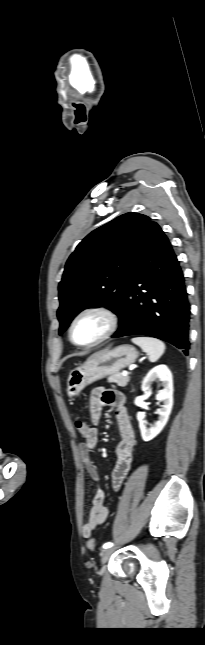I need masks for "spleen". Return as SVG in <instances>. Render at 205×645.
<instances>
[{"label": "spleen", "mask_w": 205, "mask_h": 645, "mask_svg": "<svg viewBox=\"0 0 205 645\" xmlns=\"http://www.w3.org/2000/svg\"><path fill=\"white\" fill-rule=\"evenodd\" d=\"M132 342L138 345L147 355L150 362H156L165 351V344L152 337H135Z\"/></svg>", "instance_id": "obj_1"}]
</instances>
